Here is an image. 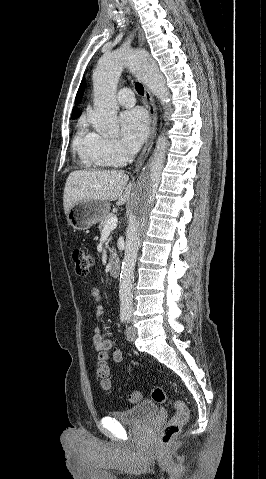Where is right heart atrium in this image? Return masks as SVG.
<instances>
[{"mask_svg": "<svg viewBox=\"0 0 266 479\" xmlns=\"http://www.w3.org/2000/svg\"><path fill=\"white\" fill-rule=\"evenodd\" d=\"M98 147L111 166H123L131 159V153L118 139L99 136Z\"/></svg>", "mask_w": 266, "mask_h": 479, "instance_id": "obj_1", "label": "right heart atrium"}]
</instances>
